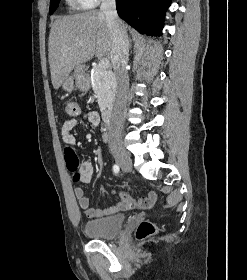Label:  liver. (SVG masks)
I'll list each match as a JSON object with an SVG mask.
<instances>
[{
    "label": "liver",
    "instance_id": "obj_1",
    "mask_svg": "<svg viewBox=\"0 0 247 280\" xmlns=\"http://www.w3.org/2000/svg\"><path fill=\"white\" fill-rule=\"evenodd\" d=\"M112 37L105 15L93 10L54 21L49 34L51 81L58 89L71 71L94 55L111 59Z\"/></svg>",
    "mask_w": 247,
    "mask_h": 280
}]
</instances>
